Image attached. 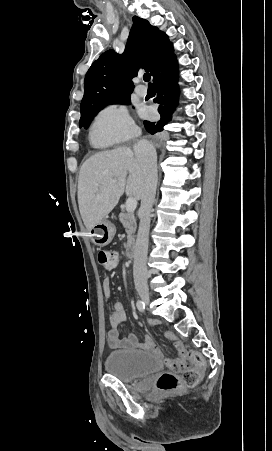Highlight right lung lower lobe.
Wrapping results in <instances>:
<instances>
[{
	"mask_svg": "<svg viewBox=\"0 0 272 451\" xmlns=\"http://www.w3.org/2000/svg\"><path fill=\"white\" fill-rule=\"evenodd\" d=\"M177 81L178 65L174 55L153 76L154 86L157 91V97L154 102L160 104L158 111L161 118L157 122L144 121L145 128L149 133L162 132L164 127L171 121L179 96Z\"/></svg>",
	"mask_w": 272,
	"mask_h": 451,
	"instance_id": "obj_1",
	"label": "right lung lower lobe"
}]
</instances>
